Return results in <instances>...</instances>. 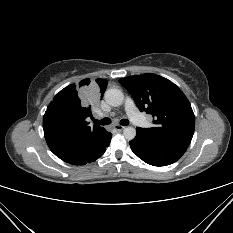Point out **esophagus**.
Masks as SVG:
<instances>
[{
	"mask_svg": "<svg viewBox=\"0 0 233 233\" xmlns=\"http://www.w3.org/2000/svg\"><path fill=\"white\" fill-rule=\"evenodd\" d=\"M113 128H114L115 130H117V131H122L123 129H125V127L122 126V125H114Z\"/></svg>",
	"mask_w": 233,
	"mask_h": 233,
	"instance_id": "1",
	"label": "esophagus"
}]
</instances>
